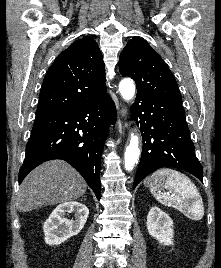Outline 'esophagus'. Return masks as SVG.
Returning a JSON list of instances; mask_svg holds the SVG:
<instances>
[{
  "mask_svg": "<svg viewBox=\"0 0 221 268\" xmlns=\"http://www.w3.org/2000/svg\"><path fill=\"white\" fill-rule=\"evenodd\" d=\"M126 112H127L126 108L125 107H122V109H121V115L122 116H125L126 115Z\"/></svg>",
  "mask_w": 221,
  "mask_h": 268,
  "instance_id": "34e87169",
  "label": "esophagus"
}]
</instances>
